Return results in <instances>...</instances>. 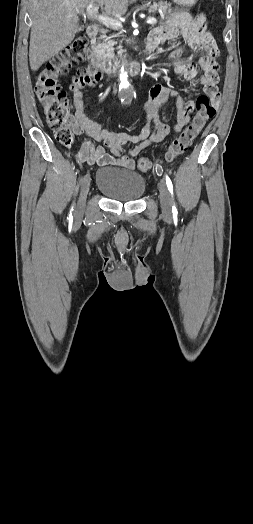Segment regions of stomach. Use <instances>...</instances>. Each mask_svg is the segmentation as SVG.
Instances as JSON below:
<instances>
[{"mask_svg": "<svg viewBox=\"0 0 253 524\" xmlns=\"http://www.w3.org/2000/svg\"><path fill=\"white\" fill-rule=\"evenodd\" d=\"M198 0H173V2L182 7H192Z\"/></svg>", "mask_w": 253, "mask_h": 524, "instance_id": "1", "label": "stomach"}]
</instances>
